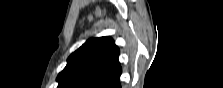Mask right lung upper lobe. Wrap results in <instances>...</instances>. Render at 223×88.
I'll list each match as a JSON object with an SVG mask.
<instances>
[{
	"mask_svg": "<svg viewBox=\"0 0 223 88\" xmlns=\"http://www.w3.org/2000/svg\"><path fill=\"white\" fill-rule=\"evenodd\" d=\"M119 49L110 37L91 38L71 54L58 88H121Z\"/></svg>",
	"mask_w": 223,
	"mask_h": 88,
	"instance_id": "1",
	"label": "right lung upper lobe"
}]
</instances>
